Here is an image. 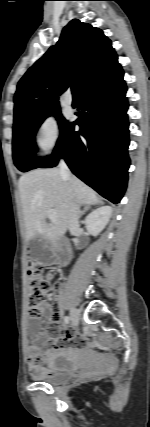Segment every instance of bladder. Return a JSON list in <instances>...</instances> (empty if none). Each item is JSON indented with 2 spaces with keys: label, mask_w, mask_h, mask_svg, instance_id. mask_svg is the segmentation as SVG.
<instances>
[{
  "label": "bladder",
  "mask_w": 150,
  "mask_h": 427,
  "mask_svg": "<svg viewBox=\"0 0 150 427\" xmlns=\"http://www.w3.org/2000/svg\"><path fill=\"white\" fill-rule=\"evenodd\" d=\"M45 382L50 385H61L68 382L77 372L68 355L56 354L47 364Z\"/></svg>",
  "instance_id": "obj_1"
}]
</instances>
